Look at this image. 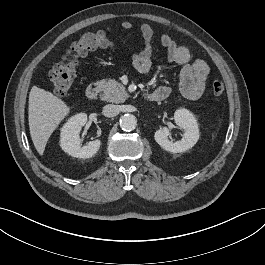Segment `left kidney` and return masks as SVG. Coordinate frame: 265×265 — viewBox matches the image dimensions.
<instances>
[{"instance_id": "5707ae66", "label": "left kidney", "mask_w": 265, "mask_h": 265, "mask_svg": "<svg viewBox=\"0 0 265 265\" xmlns=\"http://www.w3.org/2000/svg\"><path fill=\"white\" fill-rule=\"evenodd\" d=\"M175 123L185 130L180 141L172 142L168 139L170 131L163 127L155 132V141L166 151L172 153L185 152L192 148L199 139L198 123L194 115L187 109H178L174 113Z\"/></svg>"}]
</instances>
